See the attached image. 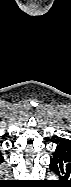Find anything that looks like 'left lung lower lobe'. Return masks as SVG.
Returning a JSON list of instances; mask_svg holds the SVG:
<instances>
[{
    "mask_svg": "<svg viewBox=\"0 0 71 187\" xmlns=\"http://www.w3.org/2000/svg\"><path fill=\"white\" fill-rule=\"evenodd\" d=\"M50 169L59 176V182H68L71 179V146L58 144Z\"/></svg>",
    "mask_w": 71,
    "mask_h": 187,
    "instance_id": "left-lung-lower-lobe-1",
    "label": "left lung lower lobe"
}]
</instances>
